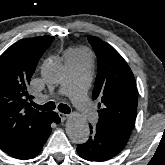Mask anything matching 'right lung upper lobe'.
Masks as SVG:
<instances>
[{
	"label": "right lung upper lobe",
	"instance_id": "right-lung-upper-lobe-1",
	"mask_svg": "<svg viewBox=\"0 0 165 165\" xmlns=\"http://www.w3.org/2000/svg\"><path fill=\"white\" fill-rule=\"evenodd\" d=\"M53 36L27 38L0 56V148L17 135L42 124L50 112L30 107L28 85L37 63L53 42Z\"/></svg>",
	"mask_w": 165,
	"mask_h": 165
}]
</instances>
